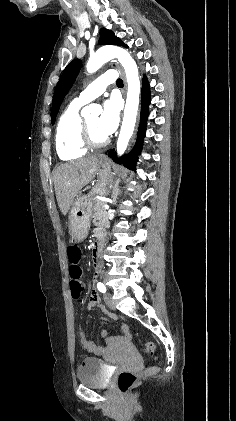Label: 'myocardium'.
<instances>
[{
	"label": "myocardium",
	"mask_w": 236,
	"mask_h": 421,
	"mask_svg": "<svg viewBox=\"0 0 236 421\" xmlns=\"http://www.w3.org/2000/svg\"><path fill=\"white\" fill-rule=\"evenodd\" d=\"M77 136L81 145L85 149H97L104 147L109 142V138L106 136L101 141H94L89 133L88 124L86 118H81L78 128Z\"/></svg>",
	"instance_id": "obj_1"
}]
</instances>
